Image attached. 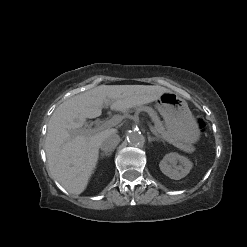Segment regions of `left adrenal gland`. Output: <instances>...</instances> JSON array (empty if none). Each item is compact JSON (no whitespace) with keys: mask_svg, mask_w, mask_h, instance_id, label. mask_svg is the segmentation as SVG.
<instances>
[{"mask_svg":"<svg viewBox=\"0 0 247 247\" xmlns=\"http://www.w3.org/2000/svg\"><path fill=\"white\" fill-rule=\"evenodd\" d=\"M152 141H159V139L148 135V142H152Z\"/></svg>","mask_w":247,"mask_h":247,"instance_id":"1","label":"left adrenal gland"}]
</instances>
